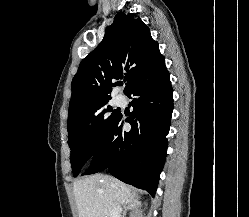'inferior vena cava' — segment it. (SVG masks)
<instances>
[{
    "mask_svg": "<svg viewBox=\"0 0 249 217\" xmlns=\"http://www.w3.org/2000/svg\"><path fill=\"white\" fill-rule=\"evenodd\" d=\"M121 206L119 203H114L113 204V209H112V217H122L121 216Z\"/></svg>",
    "mask_w": 249,
    "mask_h": 217,
    "instance_id": "inferior-vena-cava-1",
    "label": "inferior vena cava"
}]
</instances>
